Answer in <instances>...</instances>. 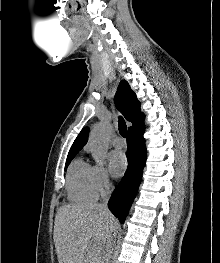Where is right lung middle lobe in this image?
Wrapping results in <instances>:
<instances>
[{
  "label": "right lung middle lobe",
  "instance_id": "obj_1",
  "mask_svg": "<svg viewBox=\"0 0 220 263\" xmlns=\"http://www.w3.org/2000/svg\"><path fill=\"white\" fill-rule=\"evenodd\" d=\"M75 157V155H70L67 157L66 165H65V170L67 169L70 161Z\"/></svg>",
  "mask_w": 220,
  "mask_h": 263
}]
</instances>
